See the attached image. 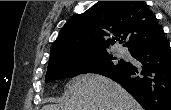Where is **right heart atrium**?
<instances>
[{"label":"right heart atrium","mask_w":171,"mask_h":110,"mask_svg":"<svg viewBox=\"0 0 171 110\" xmlns=\"http://www.w3.org/2000/svg\"><path fill=\"white\" fill-rule=\"evenodd\" d=\"M87 74L85 66H80L77 72L78 77H84Z\"/></svg>","instance_id":"1"}]
</instances>
